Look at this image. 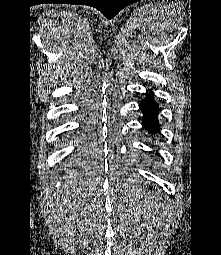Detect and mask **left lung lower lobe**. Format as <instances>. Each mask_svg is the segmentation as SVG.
Here are the masks:
<instances>
[{
	"mask_svg": "<svg viewBox=\"0 0 221 255\" xmlns=\"http://www.w3.org/2000/svg\"><path fill=\"white\" fill-rule=\"evenodd\" d=\"M149 95L152 93L150 91ZM140 109L144 113L143 126L150 132H157L159 129V122L157 120L158 104L151 98L144 99L140 104Z\"/></svg>",
	"mask_w": 221,
	"mask_h": 255,
	"instance_id": "left-lung-lower-lobe-1",
	"label": "left lung lower lobe"
}]
</instances>
